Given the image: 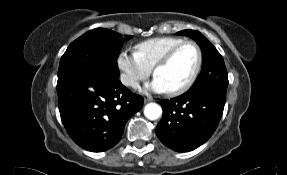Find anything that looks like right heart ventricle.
<instances>
[{"mask_svg":"<svg viewBox=\"0 0 287 175\" xmlns=\"http://www.w3.org/2000/svg\"><path fill=\"white\" fill-rule=\"evenodd\" d=\"M184 39L175 36H162L144 40L135 46L136 53L150 68L172 47L183 42Z\"/></svg>","mask_w":287,"mask_h":175,"instance_id":"right-heart-ventricle-1","label":"right heart ventricle"}]
</instances>
